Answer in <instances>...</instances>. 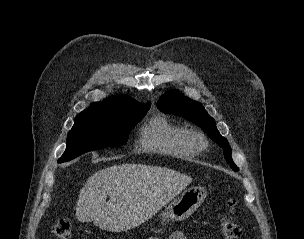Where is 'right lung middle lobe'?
<instances>
[{
	"mask_svg": "<svg viewBox=\"0 0 304 239\" xmlns=\"http://www.w3.org/2000/svg\"><path fill=\"white\" fill-rule=\"evenodd\" d=\"M149 108H129L114 115H80L67 137V148L58 162L109 146L126 144L130 130Z\"/></svg>",
	"mask_w": 304,
	"mask_h": 239,
	"instance_id": "1",
	"label": "right lung middle lobe"
}]
</instances>
